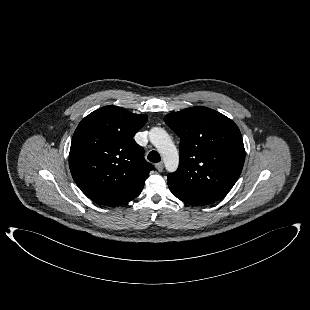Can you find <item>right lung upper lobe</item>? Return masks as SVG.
Listing matches in <instances>:
<instances>
[{"label": "right lung upper lobe", "instance_id": "1", "mask_svg": "<svg viewBox=\"0 0 310 310\" xmlns=\"http://www.w3.org/2000/svg\"><path fill=\"white\" fill-rule=\"evenodd\" d=\"M148 117L118 106L102 107L76 128L69 153L72 177L92 201L123 205L137 197L153 165L133 136Z\"/></svg>", "mask_w": 310, "mask_h": 310}]
</instances>
